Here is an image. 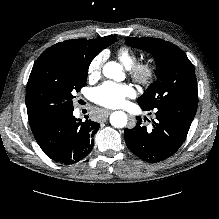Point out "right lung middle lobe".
I'll use <instances>...</instances> for the list:
<instances>
[{
  "label": "right lung middle lobe",
  "instance_id": "obj_1",
  "mask_svg": "<svg viewBox=\"0 0 219 219\" xmlns=\"http://www.w3.org/2000/svg\"><path fill=\"white\" fill-rule=\"evenodd\" d=\"M91 59L47 49L35 62L27 90L26 107L31 126L73 109V94L86 84Z\"/></svg>",
  "mask_w": 219,
  "mask_h": 219
}]
</instances>
